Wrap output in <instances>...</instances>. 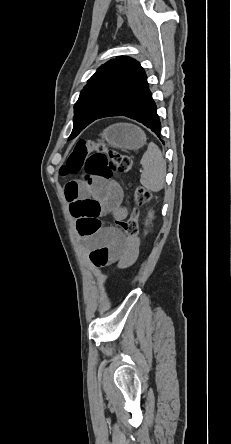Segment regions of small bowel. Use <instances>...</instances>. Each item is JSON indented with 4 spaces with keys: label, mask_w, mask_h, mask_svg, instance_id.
Returning <instances> with one entry per match:
<instances>
[{
    "label": "small bowel",
    "mask_w": 231,
    "mask_h": 444,
    "mask_svg": "<svg viewBox=\"0 0 231 444\" xmlns=\"http://www.w3.org/2000/svg\"><path fill=\"white\" fill-rule=\"evenodd\" d=\"M64 194L70 203L71 213L75 203L90 199L99 205L98 216H111L117 226L127 217L128 210L122 203L123 192L116 182L103 178L90 185L71 181L66 185ZM86 240L90 249L89 259L96 267L116 265L126 268L138 257L139 239L126 240L118 227H103Z\"/></svg>",
    "instance_id": "1"
}]
</instances>
